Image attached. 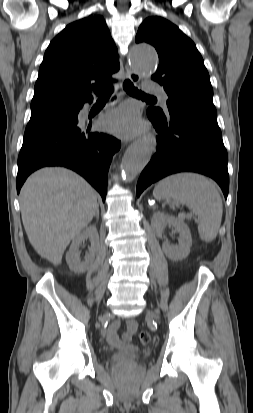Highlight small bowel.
I'll list each match as a JSON object with an SVG mask.
<instances>
[{"instance_id":"obj_1","label":"small bowel","mask_w":253,"mask_h":413,"mask_svg":"<svg viewBox=\"0 0 253 413\" xmlns=\"http://www.w3.org/2000/svg\"><path fill=\"white\" fill-rule=\"evenodd\" d=\"M120 323L113 322L106 331L108 342L116 348H124L129 343L137 330V323L134 320H129L126 323V328L121 336L118 335Z\"/></svg>"}]
</instances>
